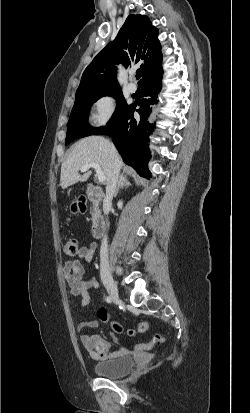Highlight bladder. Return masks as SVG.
<instances>
[{
  "label": "bladder",
  "instance_id": "1",
  "mask_svg": "<svg viewBox=\"0 0 250 413\" xmlns=\"http://www.w3.org/2000/svg\"><path fill=\"white\" fill-rule=\"evenodd\" d=\"M134 366L135 359L133 356L121 355L95 364L94 372L101 377L116 378L129 373Z\"/></svg>",
  "mask_w": 250,
  "mask_h": 413
}]
</instances>
